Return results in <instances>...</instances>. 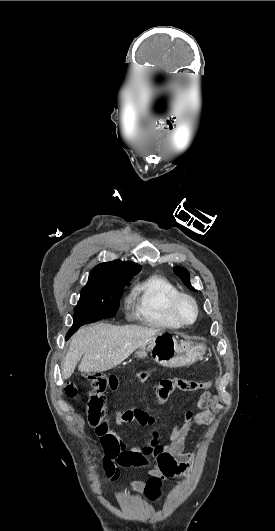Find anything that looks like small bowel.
<instances>
[{
  "instance_id": "c3829d8e",
  "label": "small bowel",
  "mask_w": 275,
  "mask_h": 531,
  "mask_svg": "<svg viewBox=\"0 0 275 531\" xmlns=\"http://www.w3.org/2000/svg\"><path fill=\"white\" fill-rule=\"evenodd\" d=\"M151 370L144 368L141 374H129L127 381L129 383L146 384L150 380ZM125 380L123 375H110L108 383L112 391L117 392L121 388V383ZM213 398L209 393L201 394L196 400L197 411L186 413L182 422L175 426L170 434V441L167 444H159L157 437L160 435V429L156 425V418L139 409L129 410L121 414L118 423L135 422L143 426L152 427L153 439L143 446H135L125 449L123 438L116 432L102 426L98 429L100 443L104 450L116 445L124 449L123 463L128 467L143 468L149 471H158L160 476L167 478L177 477L185 473L190 463L196 458L197 453L194 451H185V440L190 431L201 425L210 424L213 420L211 403ZM115 413V410H112ZM146 479H140L131 482L128 485V491L138 493L143 490Z\"/></svg>"
}]
</instances>
